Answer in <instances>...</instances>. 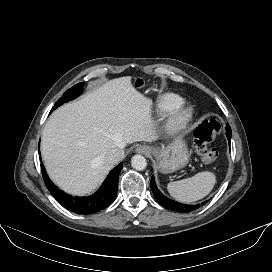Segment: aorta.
<instances>
[{
  "label": "aorta",
  "instance_id": "aorta-1",
  "mask_svg": "<svg viewBox=\"0 0 272 272\" xmlns=\"http://www.w3.org/2000/svg\"><path fill=\"white\" fill-rule=\"evenodd\" d=\"M131 165L134 169L141 171L147 166V161L142 155H134L131 159Z\"/></svg>",
  "mask_w": 272,
  "mask_h": 272
}]
</instances>
